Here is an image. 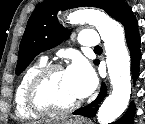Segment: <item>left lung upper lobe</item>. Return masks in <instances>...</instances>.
<instances>
[{
	"mask_svg": "<svg viewBox=\"0 0 145 124\" xmlns=\"http://www.w3.org/2000/svg\"><path fill=\"white\" fill-rule=\"evenodd\" d=\"M82 6L101 8L116 20L129 8L125 0H46L40 3L31 14L23 34L16 75L23 72L40 52L69 37L70 31L58 23L57 11Z\"/></svg>",
	"mask_w": 145,
	"mask_h": 124,
	"instance_id": "5c2ea615",
	"label": "left lung upper lobe"
}]
</instances>
